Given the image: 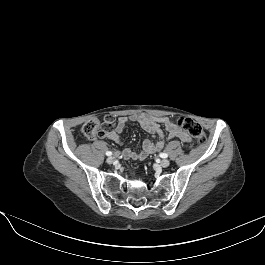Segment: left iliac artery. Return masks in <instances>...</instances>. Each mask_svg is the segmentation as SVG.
I'll use <instances>...</instances> for the list:
<instances>
[{
	"instance_id": "1",
	"label": "left iliac artery",
	"mask_w": 265,
	"mask_h": 265,
	"mask_svg": "<svg viewBox=\"0 0 265 265\" xmlns=\"http://www.w3.org/2000/svg\"><path fill=\"white\" fill-rule=\"evenodd\" d=\"M160 157L161 158H167L168 157V154L167 153H160Z\"/></svg>"
}]
</instances>
